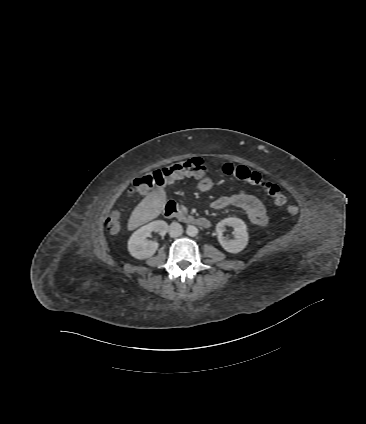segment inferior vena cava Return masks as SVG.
I'll list each match as a JSON object with an SVG mask.
<instances>
[{
    "label": "inferior vena cava",
    "mask_w": 366,
    "mask_h": 424,
    "mask_svg": "<svg viewBox=\"0 0 366 424\" xmlns=\"http://www.w3.org/2000/svg\"><path fill=\"white\" fill-rule=\"evenodd\" d=\"M183 228L182 226L177 222H172L169 226V234L171 237L176 238L182 235Z\"/></svg>",
    "instance_id": "inferior-vena-cava-1"
}]
</instances>
